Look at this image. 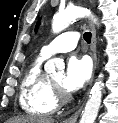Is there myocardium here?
<instances>
[{
    "label": "myocardium",
    "mask_w": 118,
    "mask_h": 123,
    "mask_svg": "<svg viewBox=\"0 0 118 123\" xmlns=\"http://www.w3.org/2000/svg\"><path fill=\"white\" fill-rule=\"evenodd\" d=\"M51 87L53 90V94L57 100V102L65 103L69 100L70 96L67 92H65L60 86L55 84L52 80H50Z\"/></svg>",
    "instance_id": "f54148a6"
}]
</instances>
